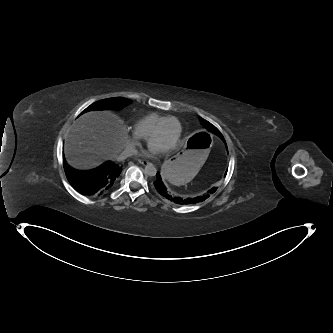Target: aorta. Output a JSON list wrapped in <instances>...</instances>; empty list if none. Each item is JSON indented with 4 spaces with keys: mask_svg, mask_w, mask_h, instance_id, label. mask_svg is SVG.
Listing matches in <instances>:
<instances>
[{
    "mask_svg": "<svg viewBox=\"0 0 333 333\" xmlns=\"http://www.w3.org/2000/svg\"><path fill=\"white\" fill-rule=\"evenodd\" d=\"M156 168L154 167L153 164L149 163L146 165L145 167V173L148 175V176H155L156 175Z\"/></svg>",
    "mask_w": 333,
    "mask_h": 333,
    "instance_id": "aorta-1",
    "label": "aorta"
}]
</instances>
